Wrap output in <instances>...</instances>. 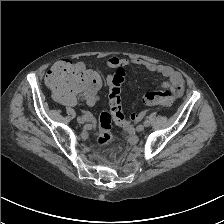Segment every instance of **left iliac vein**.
Returning <instances> with one entry per match:
<instances>
[{
	"mask_svg": "<svg viewBox=\"0 0 224 224\" xmlns=\"http://www.w3.org/2000/svg\"><path fill=\"white\" fill-rule=\"evenodd\" d=\"M144 130V125L143 124H139L137 127H136V131L137 132H141Z\"/></svg>",
	"mask_w": 224,
	"mask_h": 224,
	"instance_id": "left-iliac-vein-1",
	"label": "left iliac vein"
}]
</instances>
